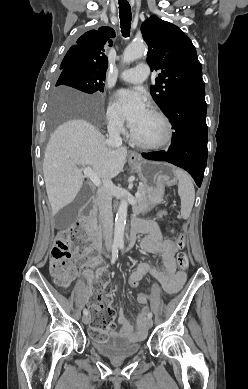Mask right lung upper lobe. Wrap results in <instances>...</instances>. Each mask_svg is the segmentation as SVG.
<instances>
[{
	"mask_svg": "<svg viewBox=\"0 0 248 389\" xmlns=\"http://www.w3.org/2000/svg\"><path fill=\"white\" fill-rule=\"evenodd\" d=\"M115 31L110 27H101L83 34L65 55L61 67H74L93 72L105 78L108 59L105 46L112 45Z\"/></svg>",
	"mask_w": 248,
	"mask_h": 389,
	"instance_id": "1",
	"label": "right lung upper lobe"
}]
</instances>
